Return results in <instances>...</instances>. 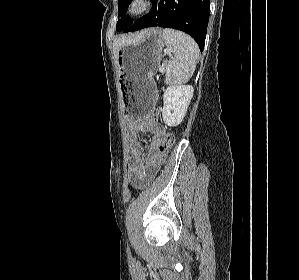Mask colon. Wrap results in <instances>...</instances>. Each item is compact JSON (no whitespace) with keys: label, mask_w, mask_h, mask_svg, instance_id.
Returning a JSON list of instances; mask_svg holds the SVG:
<instances>
[{"label":"colon","mask_w":299,"mask_h":280,"mask_svg":"<svg viewBox=\"0 0 299 280\" xmlns=\"http://www.w3.org/2000/svg\"><path fill=\"white\" fill-rule=\"evenodd\" d=\"M157 116H158V112L153 111L147 116V119L149 121H156ZM174 143H175L174 134L172 132H168L166 134L165 143H164V145L162 146V149H161V156H160V163L161 164L164 162L166 156L168 155L169 151L173 147ZM150 180L151 179H147L145 181L132 183V184H133V186H135L137 188H142V187H145L149 183Z\"/></svg>","instance_id":"colon-1"}]
</instances>
